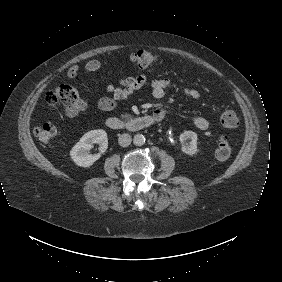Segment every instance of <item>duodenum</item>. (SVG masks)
Here are the masks:
<instances>
[{"label": "duodenum", "instance_id": "410a0bca", "mask_svg": "<svg viewBox=\"0 0 282 282\" xmlns=\"http://www.w3.org/2000/svg\"><path fill=\"white\" fill-rule=\"evenodd\" d=\"M162 121V116L155 114H144L133 117L129 120H122L116 117H110L106 120V125L114 130L137 131L150 127Z\"/></svg>", "mask_w": 282, "mask_h": 282}]
</instances>
